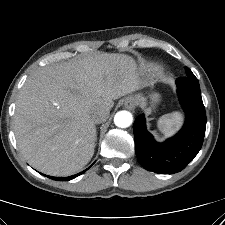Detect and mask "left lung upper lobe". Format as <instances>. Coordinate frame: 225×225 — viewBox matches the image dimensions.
I'll use <instances>...</instances> for the list:
<instances>
[{"mask_svg":"<svg viewBox=\"0 0 225 225\" xmlns=\"http://www.w3.org/2000/svg\"><path fill=\"white\" fill-rule=\"evenodd\" d=\"M185 70H186L187 77L195 78V75L191 72L189 68L186 67Z\"/></svg>","mask_w":225,"mask_h":225,"instance_id":"1","label":"left lung upper lobe"}]
</instances>
